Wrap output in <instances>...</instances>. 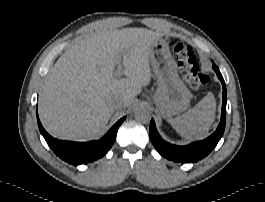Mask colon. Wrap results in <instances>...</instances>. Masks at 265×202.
<instances>
[{
	"mask_svg": "<svg viewBox=\"0 0 265 202\" xmlns=\"http://www.w3.org/2000/svg\"><path fill=\"white\" fill-rule=\"evenodd\" d=\"M171 47L184 81L192 88H199L205 84L208 76L200 70L193 48L178 40L172 41Z\"/></svg>",
	"mask_w": 265,
	"mask_h": 202,
	"instance_id": "colon-1",
	"label": "colon"
}]
</instances>
